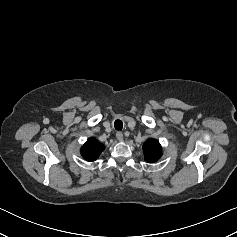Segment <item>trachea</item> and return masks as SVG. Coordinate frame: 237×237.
<instances>
[{"label":"trachea","instance_id":"1","mask_svg":"<svg viewBox=\"0 0 237 237\" xmlns=\"http://www.w3.org/2000/svg\"><path fill=\"white\" fill-rule=\"evenodd\" d=\"M114 127H115L116 130H122L123 122L121 120H116L114 122Z\"/></svg>","mask_w":237,"mask_h":237}]
</instances>
